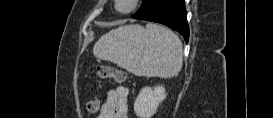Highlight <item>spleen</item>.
Masks as SVG:
<instances>
[{
  "label": "spleen",
  "mask_w": 273,
  "mask_h": 118,
  "mask_svg": "<svg viewBox=\"0 0 273 118\" xmlns=\"http://www.w3.org/2000/svg\"><path fill=\"white\" fill-rule=\"evenodd\" d=\"M93 54L136 76L170 78L183 65V48L171 30L148 23L120 26L103 35Z\"/></svg>",
  "instance_id": "3e777b00"
}]
</instances>
